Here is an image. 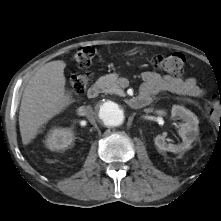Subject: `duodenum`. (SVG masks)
<instances>
[{
    "label": "duodenum",
    "instance_id": "1",
    "mask_svg": "<svg viewBox=\"0 0 221 221\" xmlns=\"http://www.w3.org/2000/svg\"><path fill=\"white\" fill-rule=\"evenodd\" d=\"M100 92V85H92L88 91L87 95L89 98H96ZM152 102V98L149 94H139L129 100V104L133 108H142L149 105Z\"/></svg>",
    "mask_w": 221,
    "mask_h": 221
}]
</instances>
